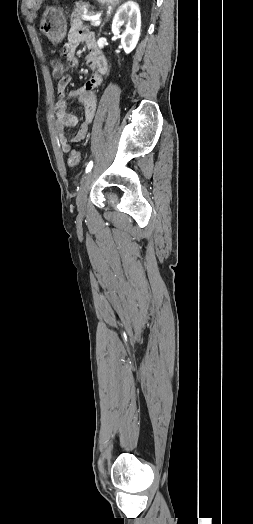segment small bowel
Instances as JSON below:
<instances>
[{
  "label": "small bowel",
  "instance_id": "c3829d8e",
  "mask_svg": "<svg viewBox=\"0 0 253 524\" xmlns=\"http://www.w3.org/2000/svg\"><path fill=\"white\" fill-rule=\"evenodd\" d=\"M80 44H84L89 51L85 61L91 69L92 75L83 86L67 92L68 82L76 74L77 58L75 53ZM64 55L66 56L64 62L68 71L62 74V80L57 85L58 99L55 105L57 114L55 128L61 149L67 153L71 149V142H79L86 137L89 127L94 121L98 105L95 90L101 84L103 77L108 71V63L96 44L94 33L83 26L78 19H75L72 23L68 42L64 46ZM67 98H77L84 108L83 121L71 141L67 139L64 130L66 127H75L78 123V118L68 112Z\"/></svg>",
  "mask_w": 253,
  "mask_h": 524
}]
</instances>
